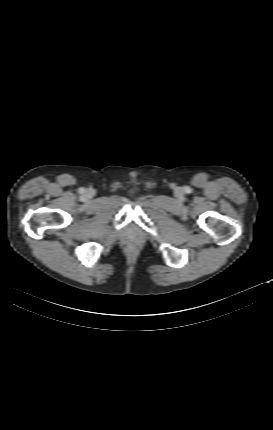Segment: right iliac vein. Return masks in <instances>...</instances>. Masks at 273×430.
<instances>
[{
	"mask_svg": "<svg viewBox=\"0 0 273 430\" xmlns=\"http://www.w3.org/2000/svg\"><path fill=\"white\" fill-rule=\"evenodd\" d=\"M86 196H87V197H91V196H93V191H92V190H87V191H86Z\"/></svg>",
	"mask_w": 273,
	"mask_h": 430,
	"instance_id": "1",
	"label": "right iliac vein"
}]
</instances>
